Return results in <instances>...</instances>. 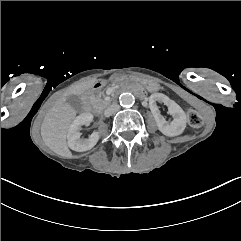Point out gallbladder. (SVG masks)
Here are the masks:
<instances>
[{
  "instance_id": "bac80fb5",
  "label": "gallbladder",
  "mask_w": 241,
  "mask_h": 241,
  "mask_svg": "<svg viewBox=\"0 0 241 241\" xmlns=\"http://www.w3.org/2000/svg\"><path fill=\"white\" fill-rule=\"evenodd\" d=\"M67 102L69 103V107L73 111H78L82 107V101L77 95H70L67 97Z\"/></svg>"
}]
</instances>
